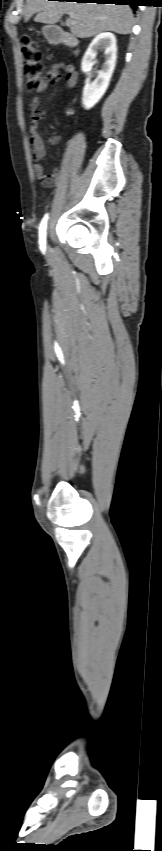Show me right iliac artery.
Segmentation results:
<instances>
[{"mask_svg": "<svg viewBox=\"0 0 162 851\" xmlns=\"http://www.w3.org/2000/svg\"><path fill=\"white\" fill-rule=\"evenodd\" d=\"M47 220L48 214L44 216L39 228V243L42 252H45Z\"/></svg>", "mask_w": 162, "mask_h": 851, "instance_id": "1", "label": "right iliac artery"}]
</instances>
